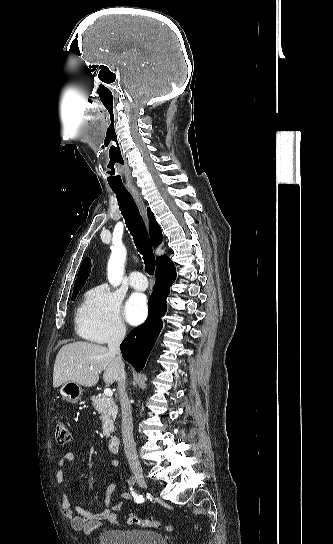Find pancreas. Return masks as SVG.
<instances>
[{
  "label": "pancreas",
  "mask_w": 333,
  "mask_h": 544,
  "mask_svg": "<svg viewBox=\"0 0 333 544\" xmlns=\"http://www.w3.org/2000/svg\"><path fill=\"white\" fill-rule=\"evenodd\" d=\"M92 405L100 414L102 420L103 434L109 437L114 430V422L118 413V408L112 398L103 395L101 398L92 396Z\"/></svg>",
  "instance_id": "obj_1"
}]
</instances>
